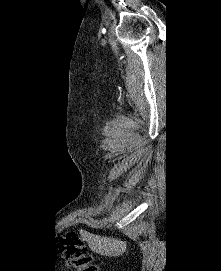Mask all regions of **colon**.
Segmentation results:
<instances>
[{
  "mask_svg": "<svg viewBox=\"0 0 221 271\" xmlns=\"http://www.w3.org/2000/svg\"><path fill=\"white\" fill-rule=\"evenodd\" d=\"M59 244L65 257L75 271H100V266L89 254L84 240L74 231H68L59 238Z\"/></svg>",
  "mask_w": 221,
  "mask_h": 271,
  "instance_id": "obj_1",
  "label": "colon"
}]
</instances>
